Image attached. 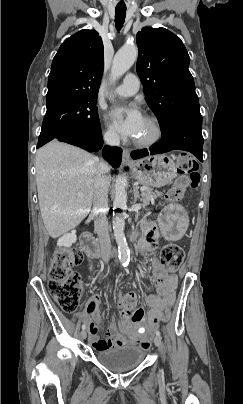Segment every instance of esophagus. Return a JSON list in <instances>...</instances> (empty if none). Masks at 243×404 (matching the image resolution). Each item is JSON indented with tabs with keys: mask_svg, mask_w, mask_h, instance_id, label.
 Here are the masks:
<instances>
[{
	"mask_svg": "<svg viewBox=\"0 0 243 404\" xmlns=\"http://www.w3.org/2000/svg\"><path fill=\"white\" fill-rule=\"evenodd\" d=\"M123 164H130V152L128 149H123V159H122Z\"/></svg>",
	"mask_w": 243,
	"mask_h": 404,
	"instance_id": "34e87169",
	"label": "esophagus"
}]
</instances>
